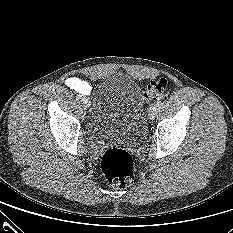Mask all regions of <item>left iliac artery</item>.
Wrapping results in <instances>:
<instances>
[{
    "instance_id": "obj_1",
    "label": "left iliac artery",
    "mask_w": 233,
    "mask_h": 233,
    "mask_svg": "<svg viewBox=\"0 0 233 233\" xmlns=\"http://www.w3.org/2000/svg\"><path fill=\"white\" fill-rule=\"evenodd\" d=\"M156 105H157L158 107H161V106L163 105V102H162V101H158V102L156 103Z\"/></svg>"
}]
</instances>
